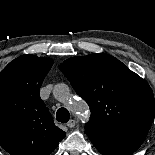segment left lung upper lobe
<instances>
[{
	"label": "left lung upper lobe",
	"instance_id": "obj_1",
	"mask_svg": "<svg viewBox=\"0 0 155 155\" xmlns=\"http://www.w3.org/2000/svg\"><path fill=\"white\" fill-rule=\"evenodd\" d=\"M60 70L90 106L88 136L148 132L155 115L153 92L121 61L106 53L91 54L69 58Z\"/></svg>",
	"mask_w": 155,
	"mask_h": 155
}]
</instances>
